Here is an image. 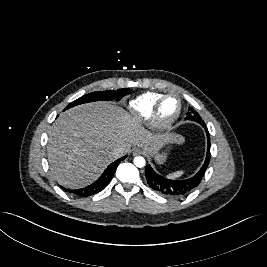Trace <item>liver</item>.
<instances>
[{
  "label": "liver",
  "instance_id": "obj_1",
  "mask_svg": "<svg viewBox=\"0 0 267 267\" xmlns=\"http://www.w3.org/2000/svg\"><path fill=\"white\" fill-rule=\"evenodd\" d=\"M182 141L178 135L152 133L121 107L95 102L76 106L59 116L49 133L47 156L59 184L80 188L95 181L120 157L114 155L118 146L124 148L123 154L136 145L153 154L167 142Z\"/></svg>",
  "mask_w": 267,
  "mask_h": 267
}]
</instances>
